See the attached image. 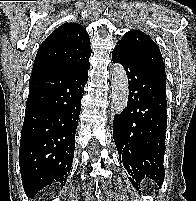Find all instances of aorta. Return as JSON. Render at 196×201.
Instances as JSON below:
<instances>
[{"instance_id": "1", "label": "aorta", "mask_w": 196, "mask_h": 201, "mask_svg": "<svg viewBox=\"0 0 196 201\" xmlns=\"http://www.w3.org/2000/svg\"><path fill=\"white\" fill-rule=\"evenodd\" d=\"M111 89L112 103L116 113H122L128 103V79L122 64L116 63L112 68Z\"/></svg>"}]
</instances>
